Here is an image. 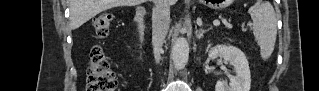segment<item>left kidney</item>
<instances>
[{
	"instance_id": "left-kidney-1",
	"label": "left kidney",
	"mask_w": 319,
	"mask_h": 91,
	"mask_svg": "<svg viewBox=\"0 0 319 91\" xmlns=\"http://www.w3.org/2000/svg\"><path fill=\"white\" fill-rule=\"evenodd\" d=\"M210 59L222 57L224 62H229L236 73L228 84L227 81H218L215 91H250L251 74L248 60L245 54L238 48L231 45H216L209 50Z\"/></svg>"
}]
</instances>
